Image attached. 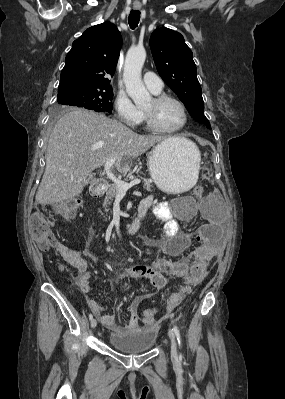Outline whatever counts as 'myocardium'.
Here are the masks:
<instances>
[{"instance_id":"obj_1","label":"myocardium","mask_w":285,"mask_h":399,"mask_svg":"<svg viewBox=\"0 0 285 399\" xmlns=\"http://www.w3.org/2000/svg\"><path fill=\"white\" fill-rule=\"evenodd\" d=\"M166 101H173L179 105V107L182 110L184 120L181 125H179L175 128H165V127H162L161 125H159L155 113L143 110L145 122H146L147 126L152 131L159 132V133H174V132L180 131L182 128H184L188 122L187 109H186L184 103L180 99H178L172 95H169V94H158L153 98V102L156 106L161 105Z\"/></svg>"}]
</instances>
